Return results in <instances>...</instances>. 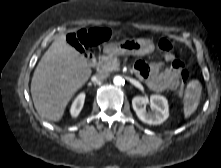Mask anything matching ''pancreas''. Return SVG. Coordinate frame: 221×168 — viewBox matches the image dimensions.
Returning <instances> with one entry per match:
<instances>
[{
  "label": "pancreas",
  "instance_id": "obj_1",
  "mask_svg": "<svg viewBox=\"0 0 221 168\" xmlns=\"http://www.w3.org/2000/svg\"><path fill=\"white\" fill-rule=\"evenodd\" d=\"M119 59L117 56L108 55L101 56L98 60L96 68L98 71L111 72L119 70Z\"/></svg>",
  "mask_w": 221,
  "mask_h": 168
}]
</instances>
